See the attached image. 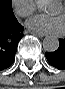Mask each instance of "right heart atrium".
I'll use <instances>...</instances> for the list:
<instances>
[{"instance_id": "obj_1", "label": "right heart atrium", "mask_w": 65, "mask_h": 89, "mask_svg": "<svg viewBox=\"0 0 65 89\" xmlns=\"http://www.w3.org/2000/svg\"><path fill=\"white\" fill-rule=\"evenodd\" d=\"M12 6L15 13L21 17H28L35 10V3L33 0H13Z\"/></svg>"}]
</instances>
